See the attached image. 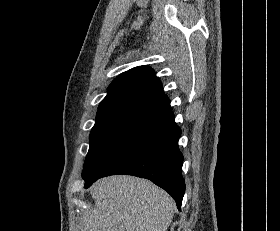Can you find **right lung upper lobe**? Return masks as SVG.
I'll use <instances>...</instances> for the list:
<instances>
[{
    "label": "right lung upper lobe",
    "instance_id": "right-lung-upper-lobe-1",
    "mask_svg": "<svg viewBox=\"0 0 280 231\" xmlns=\"http://www.w3.org/2000/svg\"><path fill=\"white\" fill-rule=\"evenodd\" d=\"M98 110V120L140 124L171 111V106L154 71L148 66H139L120 74L111 83Z\"/></svg>",
    "mask_w": 280,
    "mask_h": 231
}]
</instances>
